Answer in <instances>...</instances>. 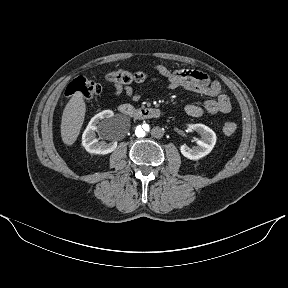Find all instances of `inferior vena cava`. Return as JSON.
<instances>
[{"instance_id":"inferior-vena-cava-1","label":"inferior vena cava","mask_w":288,"mask_h":288,"mask_svg":"<svg viewBox=\"0 0 288 288\" xmlns=\"http://www.w3.org/2000/svg\"><path fill=\"white\" fill-rule=\"evenodd\" d=\"M164 135V129L161 126H155L151 130V136L154 139H160Z\"/></svg>"}]
</instances>
